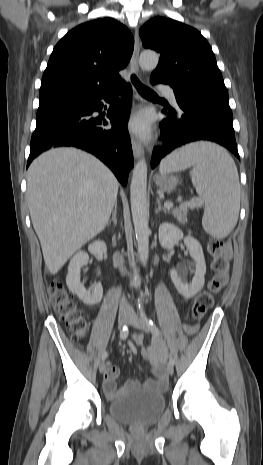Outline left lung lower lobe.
Instances as JSON below:
<instances>
[{
    "label": "left lung lower lobe",
    "mask_w": 263,
    "mask_h": 465,
    "mask_svg": "<svg viewBox=\"0 0 263 465\" xmlns=\"http://www.w3.org/2000/svg\"><path fill=\"white\" fill-rule=\"evenodd\" d=\"M150 81L152 84L165 83L157 78H151ZM172 88L178 110L170 108L167 118L160 123L165 145L153 151L151 167L154 168L173 149L198 140L216 142L240 159L228 100H197L186 87Z\"/></svg>",
    "instance_id": "left-lung-lower-lobe-1"
}]
</instances>
